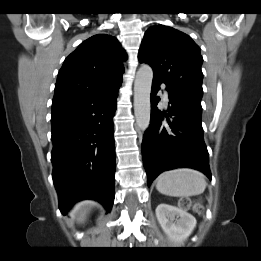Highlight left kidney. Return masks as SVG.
Masks as SVG:
<instances>
[{
    "instance_id": "obj_1",
    "label": "left kidney",
    "mask_w": 261,
    "mask_h": 261,
    "mask_svg": "<svg viewBox=\"0 0 261 261\" xmlns=\"http://www.w3.org/2000/svg\"><path fill=\"white\" fill-rule=\"evenodd\" d=\"M157 220L168 238L177 243L185 241L196 227V219L186 210L168 204L156 208Z\"/></svg>"
}]
</instances>
